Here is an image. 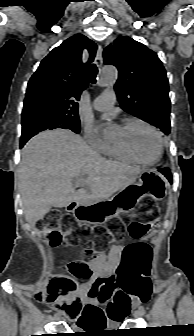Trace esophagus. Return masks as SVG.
<instances>
[{"label":"esophagus","instance_id":"obj_1","mask_svg":"<svg viewBox=\"0 0 194 336\" xmlns=\"http://www.w3.org/2000/svg\"><path fill=\"white\" fill-rule=\"evenodd\" d=\"M95 63H96L98 68L102 67L103 57H102V47H101V45H98V49H97L96 57H95Z\"/></svg>","mask_w":194,"mask_h":336}]
</instances>
